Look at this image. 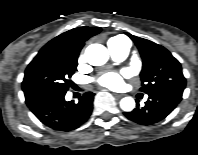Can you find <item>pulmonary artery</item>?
<instances>
[{"label": "pulmonary artery", "mask_w": 198, "mask_h": 155, "mask_svg": "<svg viewBox=\"0 0 198 155\" xmlns=\"http://www.w3.org/2000/svg\"><path fill=\"white\" fill-rule=\"evenodd\" d=\"M108 48L115 60L122 61L128 56L130 42L124 37H115L108 41Z\"/></svg>", "instance_id": "1"}]
</instances>
